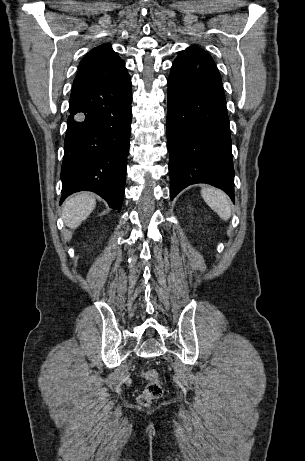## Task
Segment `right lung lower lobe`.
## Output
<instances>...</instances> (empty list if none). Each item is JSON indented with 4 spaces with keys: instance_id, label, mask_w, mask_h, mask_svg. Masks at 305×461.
<instances>
[{
    "instance_id": "right-lung-lower-lobe-1",
    "label": "right lung lower lobe",
    "mask_w": 305,
    "mask_h": 461,
    "mask_svg": "<svg viewBox=\"0 0 305 461\" xmlns=\"http://www.w3.org/2000/svg\"><path fill=\"white\" fill-rule=\"evenodd\" d=\"M131 80L124 73L104 83L73 87L61 168L60 204L88 190L121 211L131 130Z\"/></svg>"
}]
</instances>
